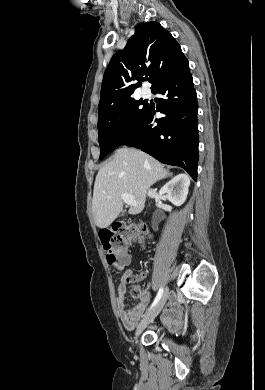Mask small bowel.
Wrapping results in <instances>:
<instances>
[{
  "mask_svg": "<svg viewBox=\"0 0 265 390\" xmlns=\"http://www.w3.org/2000/svg\"><path fill=\"white\" fill-rule=\"evenodd\" d=\"M130 262V259L127 257L126 258V263L125 266L128 265ZM133 273L132 271L128 270L124 273L118 287H117V293H118V298H117V307H118V313L120 320L123 324V326L127 330H132L134 326L136 325L137 321L143 314L146 306L151 300V294L149 291H144L140 297V300L138 303L130 310H127L125 308V293H126V284L128 282V278L132 276ZM182 311L178 307L176 301L174 299L171 300L169 304V308L165 314V320L166 322L169 323H174V324H180L182 322Z\"/></svg>",
  "mask_w": 265,
  "mask_h": 390,
  "instance_id": "obj_1",
  "label": "small bowel"
}]
</instances>
